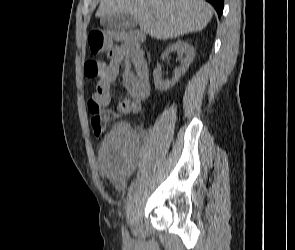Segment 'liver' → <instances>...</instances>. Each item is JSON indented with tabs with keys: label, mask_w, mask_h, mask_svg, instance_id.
Wrapping results in <instances>:
<instances>
[{
	"label": "liver",
	"mask_w": 295,
	"mask_h": 250,
	"mask_svg": "<svg viewBox=\"0 0 295 250\" xmlns=\"http://www.w3.org/2000/svg\"><path fill=\"white\" fill-rule=\"evenodd\" d=\"M132 15L141 31L158 40L203 30L213 15L203 0H100L96 17Z\"/></svg>",
	"instance_id": "6515ba94"
}]
</instances>
